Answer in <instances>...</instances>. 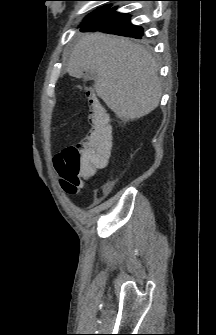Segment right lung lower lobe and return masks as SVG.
Masks as SVG:
<instances>
[{
  "label": "right lung lower lobe",
  "instance_id": "obj_1",
  "mask_svg": "<svg viewBox=\"0 0 216 335\" xmlns=\"http://www.w3.org/2000/svg\"><path fill=\"white\" fill-rule=\"evenodd\" d=\"M81 31H101L126 37L141 39L143 29L130 22L129 14H122L109 9L88 23L82 25Z\"/></svg>",
  "mask_w": 216,
  "mask_h": 335
}]
</instances>
